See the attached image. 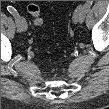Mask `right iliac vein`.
Segmentation results:
<instances>
[{"instance_id":"63e3f726","label":"right iliac vein","mask_w":109,"mask_h":109,"mask_svg":"<svg viewBox=\"0 0 109 109\" xmlns=\"http://www.w3.org/2000/svg\"><path fill=\"white\" fill-rule=\"evenodd\" d=\"M19 26L22 28L21 32L27 30V22L23 17H20L19 19Z\"/></svg>"}]
</instances>
